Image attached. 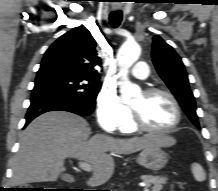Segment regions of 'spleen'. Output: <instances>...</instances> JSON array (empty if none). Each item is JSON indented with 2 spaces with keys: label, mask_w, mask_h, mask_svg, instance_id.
Here are the masks:
<instances>
[{
  "label": "spleen",
  "mask_w": 218,
  "mask_h": 191,
  "mask_svg": "<svg viewBox=\"0 0 218 191\" xmlns=\"http://www.w3.org/2000/svg\"><path fill=\"white\" fill-rule=\"evenodd\" d=\"M191 170L196 181L203 182L206 179V174L199 164L193 163Z\"/></svg>",
  "instance_id": "1"
}]
</instances>
